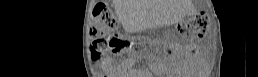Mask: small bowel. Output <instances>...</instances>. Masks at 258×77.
Instances as JSON below:
<instances>
[{
    "mask_svg": "<svg viewBox=\"0 0 258 77\" xmlns=\"http://www.w3.org/2000/svg\"><path fill=\"white\" fill-rule=\"evenodd\" d=\"M107 63L110 65V64H111V61L109 60ZM131 68H132V61H131V60L124 61L123 64L121 65V69H124V70H126V69H131ZM110 69H111V68H110ZM108 72H109V73H112V72H114V71L108 70Z\"/></svg>",
    "mask_w": 258,
    "mask_h": 77,
    "instance_id": "1",
    "label": "small bowel"
}]
</instances>
